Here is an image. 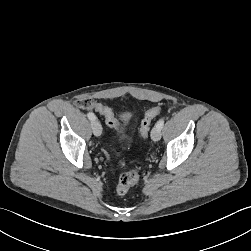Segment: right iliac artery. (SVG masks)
I'll list each match as a JSON object with an SVG mask.
<instances>
[{"mask_svg":"<svg viewBox=\"0 0 251 251\" xmlns=\"http://www.w3.org/2000/svg\"><path fill=\"white\" fill-rule=\"evenodd\" d=\"M87 117H88L90 120H92V121L96 119L95 115H94L92 112H89V113L87 114Z\"/></svg>","mask_w":251,"mask_h":251,"instance_id":"1","label":"right iliac artery"}]
</instances>
